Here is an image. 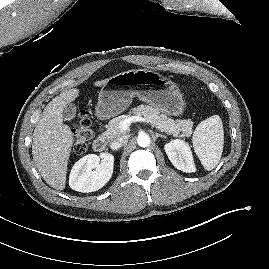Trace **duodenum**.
I'll return each mask as SVG.
<instances>
[{"instance_id": "410a0bca", "label": "duodenum", "mask_w": 269, "mask_h": 269, "mask_svg": "<svg viewBox=\"0 0 269 269\" xmlns=\"http://www.w3.org/2000/svg\"><path fill=\"white\" fill-rule=\"evenodd\" d=\"M107 146V138L105 136L97 137L93 142V149L96 152H102L106 149Z\"/></svg>"}]
</instances>
